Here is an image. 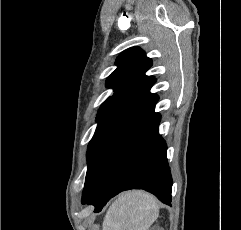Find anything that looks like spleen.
Segmentation results:
<instances>
[{"mask_svg":"<svg viewBox=\"0 0 241 230\" xmlns=\"http://www.w3.org/2000/svg\"><path fill=\"white\" fill-rule=\"evenodd\" d=\"M159 215L157 199L144 191L120 194L109 207L103 230H148Z\"/></svg>","mask_w":241,"mask_h":230,"instance_id":"1","label":"spleen"}]
</instances>
